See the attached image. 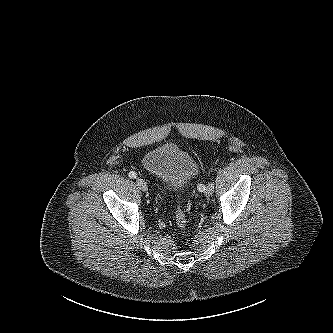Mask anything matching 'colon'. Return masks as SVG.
<instances>
[{
    "mask_svg": "<svg viewBox=\"0 0 333 333\" xmlns=\"http://www.w3.org/2000/svg\"><path fill=\"white\" fill-rule=\"evenodd\" d=\"M175 222L179 229H185L187 226V217L180 204H178L176 209Z\"/></svg>",
    "mask_w": 333,
    "mask_h": 333,
    "instance_id": "obj_1",
    "label": "colon"
}]
</instances>
